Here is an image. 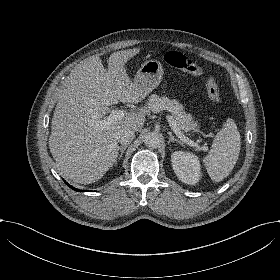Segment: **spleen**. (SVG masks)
<instances>
[{
    "instance_id": "3e777b00",
    "label": "spleen",
    "mask_w": 280,
    "mask_h": 280,
    "mask_svg": "<svg viewBox=\"0 0 280 280\" xmlns=\"http://www.w3.org/2000/svg\"><path fill=\"white\" fill-rule=\"evenodd\" d=\"M240 147L237 125L229 118L216 134L211 152L203 160L212 180L220 182L230 174L238 160Z\"/></svg>"
}]
</instances>
